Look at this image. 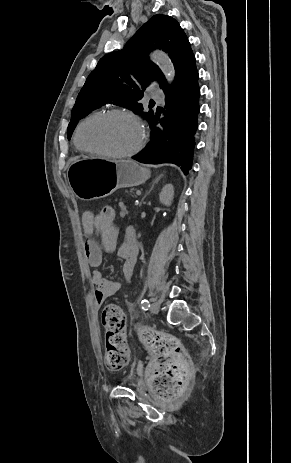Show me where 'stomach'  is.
Returning <instances> with one entry per match:
<instances>
[{"mask_svg": "<svg viewBox=\"0 0 291 463\" xmlns=\"http://www.w3.org/2000/svg\"><path fill=\"white\" fill-rule=\"evenodd\" d=\"M150 171L131 160H116L98 156L72 158L67 168V180L81 200L106 197L119 188L143 184Z\"/></svg>", "mask_w": 291, "mask_h": 463, "instance_id": "1", "label": "stomach"}]
</instances>
